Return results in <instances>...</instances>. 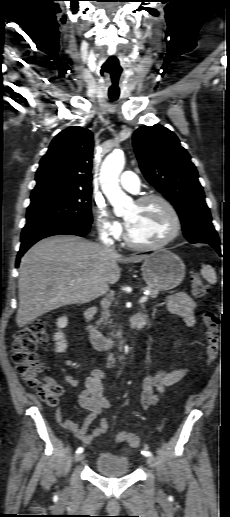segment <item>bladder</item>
Returning a JSON list of instances; mask_svg holds the SVG:
<instances>
[{"label": "bladder", "instance_id": "31cf9c89", "mask_svg": "<svg viewBox=\"0 0 230 517\" xmlns=\"http://www.w3.org/2000/svg\"><path fill=\"white\" fill-rule=\"evenodd\" d=\"M94 469L104 476L119 477L130 473V464L126 458L104 452L97 456Z\"/></svg>", "mask_w": 230, "mask_h": 517}]
</instances>
